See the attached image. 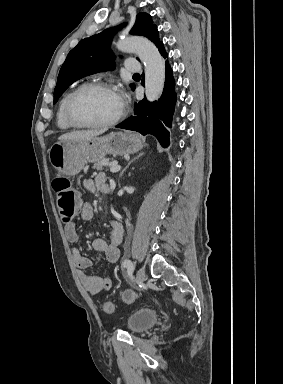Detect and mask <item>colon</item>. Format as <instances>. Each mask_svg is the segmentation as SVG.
Returning <instances> with one entry per match:
<instances>
[{
    "instance_id": "1",
    "label": "colon",
    "mask_w": 283,
    "mask_h": 384,
    "mask_svg": "<svg viewBox=\"0 0 283 384\" xmlns=\"http://www.w3.org/2000/svg\"><path fill=\"white\" fill-rule=\"evenodd\" d=\"M53 189L56 194L58 210L61 218L65 222L71 221L79 209V198L73 189L71 182L63 176L54 178L52 182ZM139 297V294L134 291H125L122 295L124 302L131 303ZM114 304L105 302L103 304L104 312L111 314L114 312Z\"/></svg>"
}]
</instances>
